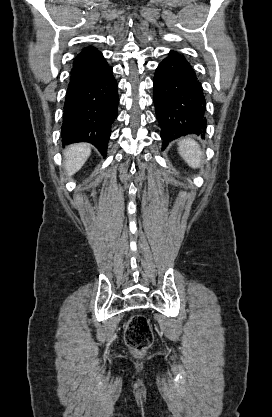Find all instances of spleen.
<instances>
[{"instance_id":"spleen-1","label":"spleen","mask_w":272,"mask_h":417,"mask_svg":"<svg viewBox=\"0 0 272 417\" xmlns=\"http://www.w3.org/2000/svg\"><path fill=\"white\" fill-rule=\"evenodd\" d=\"M178 151L184 161L192 168H199L203 163V152L198 143L186 137L179 141Z\"/></svg>"}]
</instances>
